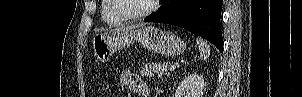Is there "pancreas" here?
Here are the masks:
<instances>
[{
    "label": "pancreas",
    "mask_w": 302,
    "mask_h": 97,
    "mask_svg": "<svg viewBox=\"0 0 302 97\" xmlns=\"http://www.w3.org/2000/svg\"><path fill=\"white\" fill-rule=\"evenodd\" d=\"M170 62H157L149 65H144L139 70L141 76L154 77L155 75L162 76L168 75Z\"/></svg>",
    "instance_id": "cf45deb5"
}]
</instances>
